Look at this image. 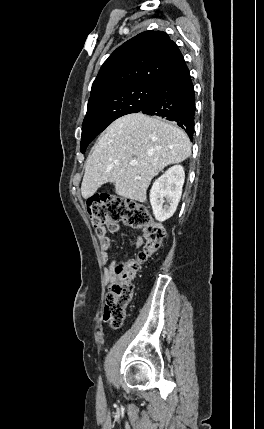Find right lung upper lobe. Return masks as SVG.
<instances>
[{
  "instance_id": "cb5924a9",
  "label": "right lung upper lobe",
  "mask_w": 264,
  "mask_h": 429,
  "mask_svg": "<svg viewBox=\"0 0 264 429\" xmlns=\"http://www.w3.org/2000/svg\"><path fill=\"white\" fill-rule=\"evenodd\" d=\"M183 60L174 41L161 31H145L117 48L93 82L89 101L136 84L158 85Z\"/></svg>"
}]
</instances>
